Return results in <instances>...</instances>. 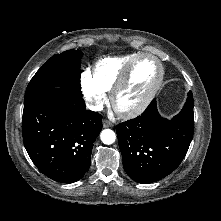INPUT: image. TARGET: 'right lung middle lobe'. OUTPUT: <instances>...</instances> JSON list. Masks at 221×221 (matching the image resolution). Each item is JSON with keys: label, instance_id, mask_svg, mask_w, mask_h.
I'll use <instances>...</instances> for the list:
<instances>
[{"label": "right lung middle lobe", "instance_id": "right-lung-middle-lobe-1", "mask_svg": "<svg viewBox=\"0 0 221 221\" xmlns=\"http://www.w3.org/2000/svg\"><path fill=\"white\" fill-rule=\"evenodd\" d=\"M80 50H68L52 56L29 82L24 101L51 89H65L82 97L80 87Z\"/></svg>", "mask_w": 221, "mask_h": 221}]
</instances>
